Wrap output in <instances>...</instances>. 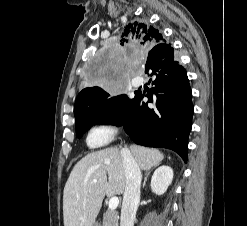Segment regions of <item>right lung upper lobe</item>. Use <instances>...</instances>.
Masks as SVG:
<instances>
[{"mask_svg":"<svg viewBox=\"0 0 247 226\" xmlns=\"http://www.w3.org/2000/svg\"><path fill=\"white\" fill-rule=\"evenodd\" d=\"M120 42L122 46L129 44H140L145 48H151L156 45L166 43V40L158 29L148 25L145 22L135 21L129 23L125 27L122 35L120 36ZM100 91L101 88L99 87H87L78 94L74 105L75 117L78 115L80 104L83 101L93 97Z\"/></svg>","mask_w":247,"mask_h":226,"instance_id":"cb5924a9","label":"right lung upper lobe"}]
</instances>
